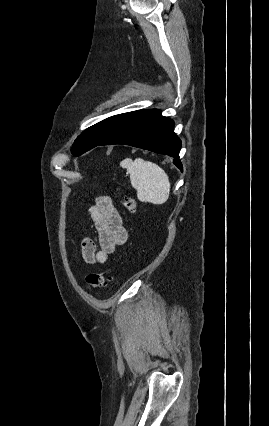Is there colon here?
Listing matches in <instances>:
<instances>
[{"label": "colon", "instance_id": "colon-1", "mask_svg": "<svg viewBox=\"0 0 269 426\" xmlns=\"http://www.w3.org/2000/svg\"><path fill=\"white\" fill-rule=\"evenodd\" d=\"M122 207L130 213H134L136 210V201L131 196H124L120 200ZM112 271L104 273L93 272L86 276V284L91 289H101L107 285V282L111 279Z\"/></svg>", "mask_w": 269, "mask_h": 426}]
</instances>
